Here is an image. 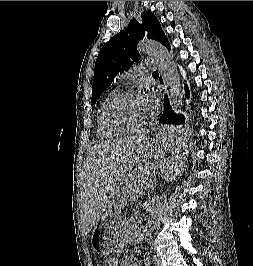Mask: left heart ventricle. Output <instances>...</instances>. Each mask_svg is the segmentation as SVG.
<instances>
[{
    "instance_id": "left-heart-ventricle-1",
    "label": "left heart ventricle",
    "mask_w": 253,
    "mask_h": 266,
    "mask_svg": "<svg viewBox=\"0 0 253 266\" xmlns=\"http://www.w3.org/2000/svg\"><path fill=\"white\" fill-rule=\"evenodd\" d=\"M148 117L141 95H129L121 99L113 108L111 119L123 127L137 126Z\"/></svg>"
}]
</instances>
